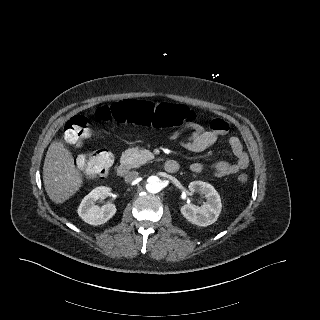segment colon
<instances>
[{
  "instance_id": "colon-1",
  "label": "colon",
  "mask_w": 320,
  "mask_h": 320,
  "mask_svg": "<svg viewBox=\"0 0 320 320\" xmlns=\"http://www.w3.org/2000/svg\"><path fill=\"white\" fill-rule=\"evenodd\" d=\"M96 118L109 123H133L154 128H167L181 125L184 121H193L195 115L177 104H154L143 100L127 99L99 107L96 110ZM89 134V121L85 116L76 115L64 125L63 139L68 145L80 144ZM113 161L111 152L98 150L80 155L78 165L87 176L103 178L109 172ZM237 180L239 183H246L249 176L241 173Z\"/></svg>"
}]
</instances>
